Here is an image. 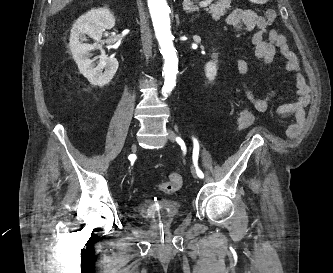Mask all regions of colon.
Segmentation results:
<instances>
[{"label":"colon","mask_w":333,"mask_h":273,"mask_svg":"<svg viewBox=\"0 0 333 273\" xmlns=\"http://www.w3.org/2000/svg\"><path fill=\"white\" fill-rule=\"evenodd\" d=\"M269 22H273L276 18V12L273 9H268L265 13ZM255 121V115L250 109L241 111L238 119L239 129H245L251 126ZM182 186V177L178 173H170L168 179L160 184V190L164 193H174Z\"/></svg>","instance_id":"1"}]
</instances>
